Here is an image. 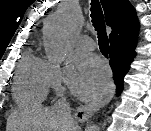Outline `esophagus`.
I'll return each instance as SVG.
<instances>
[{
	"label": "esophagus",
	"mask_w": 151,
	"mask_h": 131,
	"mask_svg": "<svg viewBox=\"0 0 151 131\" xmlns=\"http://www.w3.org/2000/svg\"><path fill=\"white\" fill-rule=\"evenodd\" d=\"M115 92V85L111 82L103 94L92 100L91 102L81 106L75 113L78 121L84 122L96 111L107 105Z\"/></svg>",
	"instance_id": "34e87169"
}]
</instances>
